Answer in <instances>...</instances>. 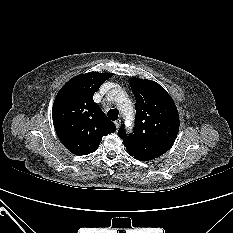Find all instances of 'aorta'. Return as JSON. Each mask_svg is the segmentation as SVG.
I'll list each match as a JSON object with an SVG mask.
<instances>
[{
	"mask_svg": "<svg viewBox=\"0 0 233 233\" xmlns=\"http://www.w3.org/2000/svg\"><path fill=\"white\" fill-rule=\"evenodd\" d=\"M115 101L119 105V109L125 116L127 121H132L134 116V111L130 100L127 98L125 92L120 89L115 90Z\"/></svg>",
	"mask_w": 233,
	"mask_h": 233,
	"instance_id": "aorta-1",
	"label": "aorta"
}]
</instances>
